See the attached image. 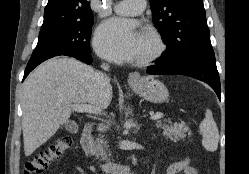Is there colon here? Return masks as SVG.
<instances>
[{
  "label": "colon",
  "instance_id": "5ec220e1",
  "mask_svg": "<svg viewBox=\"0 0 249 174\" xmlns=\"http://www.w3.org/2000/svg\"><path fill=\"white\" fill-rule=\"evenodd\" d=\"M73 138L70 134H64L46 149L34 154L26 163L24 174H41L47 167L62 157L72 146Z\"/></svg>",
  "mask_w": 249,
  "mask_h": 174
}]
</instances>
